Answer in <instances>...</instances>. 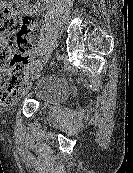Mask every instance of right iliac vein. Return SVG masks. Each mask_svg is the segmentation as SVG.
Instances as JSON below:
<instances>
[{"label":"right iliac vein","instance_id":"63e3f726","mask_svg":"<svg viewBox=\"0 0 133 173\" xmlns=\"http://www.w3.org/2000/svg\"><path fill=\"white\" fill-rule=\"evenodd\" d=\"M47 60H48V58L45 59L44 61L38 63L37 65H35V66L31 69V73H30V77H31V78H34V77H36V76L39 74V72L41 71V69H42L44 63H45Z\"/></svg>","mask_w":133,"mask_h":173}]
</instances>
